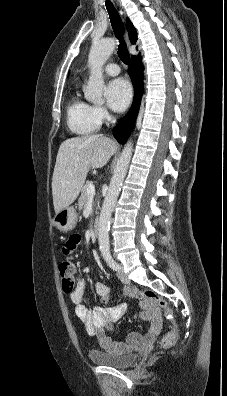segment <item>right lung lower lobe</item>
<instances>
[{"label": "right lung lower lobe", "mask_w": 227, "mask_h": 396, "mask_svg": "<svg viewBox=\"0 0 227 396\" xmlns=\"http://www.w3.org/2000/svg\"><path fill=\"white\" fill-rule=\"evenodd\" d=\"M128 73L134 85L135 101L128 115L125 116L113 131L114 137L121 144H124L130 135L143 94V66L140 56H132Z\"/></svg>", "instance_id": "right-lung-lower-lobe-1"}]
</instances>
